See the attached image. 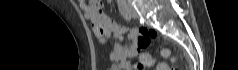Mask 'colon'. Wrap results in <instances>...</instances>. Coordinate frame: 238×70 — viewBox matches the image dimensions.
<instances>
[{
    "label": "colon",
    "mask_w": 238,
    "mask_h": 70,
    "mask_svg": "<svg viewBox=\"0 0 238 70\" xmlns=\"http://www.w3.org/2000/svg\"><path fill=\"white\" fill-rule=\"evenodd\" d=\"M98 2V1H93ZM156 37V33L153 30H150L145 27H141L138 30V47L140 50L145 49L150 44L151 39ZM163 56L169 57L171 55L168 49L162 51ZM146 57L141 63L137 66V69H144L146 66H151L153 64L150 55L146 54ZM157 70H171L169 63H158Z\"/></svg>",
    "instance_id": "5ec220e1"
}]
</instances>
